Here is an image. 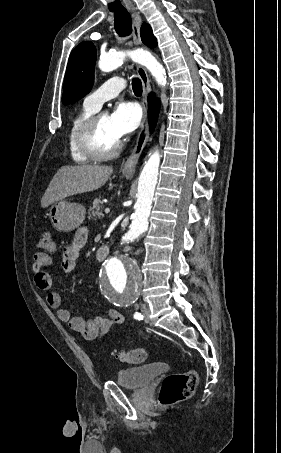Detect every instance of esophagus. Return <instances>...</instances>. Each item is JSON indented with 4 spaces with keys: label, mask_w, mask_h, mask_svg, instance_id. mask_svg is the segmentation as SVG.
<instances>
[{
    "label": "esophagus",
    "mask_w": 281,
    "mask_h": 453,
    "mask_svg": "<svg viewBox=\"0 0 281 453\" xmlns=\"http://www.w3.org/2000/svg\"><path fill=\"white\" fill-rule=\"evenodd\" d=\"M134 11V10H133ZM140 26H141V17L136 14L133 20V43L136 46L141 44V37H140ZM137 73L141 79L142 87H143V109L144 115L141 122L140 132L137 137V141L135 147L131 153V155L126 160L124 166L122 167L123 174L126 175H133L135 172V167L138 162V159L145 147L148 138H149V127H148V114H147V97L150 92V80L148 78V74L144 67L141 65L137 66Z\"/></svg>",
    "instance_id": "34e87169"
}]
</instances>
